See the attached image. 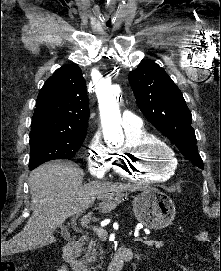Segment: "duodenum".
Segmentation results:
<instances>
[{"label": "duodenum", "instance_id": "duodenum-1", "mask_svg": "<svg viewBox=\"0 0 221 271\" xmlns=\"http://www.w3.org/2000/svg\"><path fill=\"white\" fill-rule=\"evenodd\" d=\"M87 237L81 235L78 238L70 240L62 251V258L69 264L72 271H88L86 266L78 259V252L81 246L86 242ZM137 257L128 248H119L113 255L107 271H122L125 263L130 262Z\"/></svg>", "mask_w": 221, "mask_h": 271}]
</instances>
